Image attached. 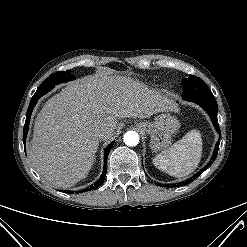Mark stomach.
<instances>
[{
  "label": "stomach",
  "instance_id": "1",
  "mask_svg": "<svg viewBox=\"0 0 247 247\" xmlns=\"http://www.w3.org/2000/svg\"><path fill=\"white\" fill-rule=\"evenodd\" d=\"M137 127L150 135V149L157 152L171 145L172 136L180 128V123L176 117L163 113L155 117L153 122H140Z\"/></svg>",
  "mask_w": 247,
  "mask_h": 247
}]
</instances>
